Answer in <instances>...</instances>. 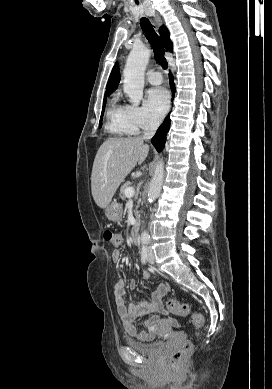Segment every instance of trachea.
<instances>
[{
  "instance_id": "3493384b",
  "label": "trachea",
  "mask_w": 272,
  "mask_h": 389,
  "mask_svg": "<svg viewBox=\"0 0 272 389\" xmlns=\"http://www.w3.org/2000/svg\"><path fill=\"white\" fill-rule=\"evenodd\" d=\"M140 26L154 50V57L156 62L161 65L163 69H166L168 64L164 56V47L160 43L159 37L154 31L149 19L142 17L140 19Z\"/></svg>"
}]
</instances>
